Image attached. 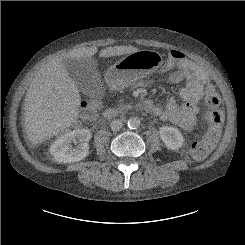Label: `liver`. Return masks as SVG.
Here are the masks:
<instances>
[{
  "label": "liver",
  "mask_w": 245,
  "mask_h": 245,
  "mask_svg": "<svg viewBox=\"0 0 245 245\" xmlns=\"http://www.w3.org/2000/svg\"><path fill=\"white\" fill-rule=\"evenodd\" d=\"M96 47L71 50L61 57L47 62L32 79L24 101L25 132L29 141L40 144L74 124L79 116L80 93L69 76L65 62L90 58ZM139 51L133 46L107 47L100 57H111Z\"/></svg>",
  "instance_id": "liver-1"
}]
</instances>
